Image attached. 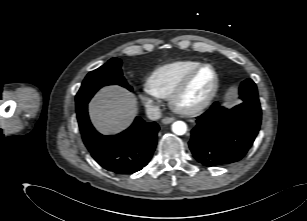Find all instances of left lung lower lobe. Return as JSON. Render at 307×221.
Wrapping results in <instances>:
<instances>
[{
    "label": "left lung lower lobe",
    "mask_w": 307,
    "mask_h": 221,
    "mask_svg": "<svg viewBox=\"0 0 307 221\" xmlns=\"http://www.w3.org/2000/svg\"><path fill=\"white\" fill-rule=\"evenodd\" d=\"M243 103L226 109L218 103L197 118L189 147L204 166L226 165L241 160L252 146L261 124L258 94L240 92Z\"/></svg>",
    "instance_id": "1"
}]
</instances>
